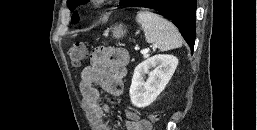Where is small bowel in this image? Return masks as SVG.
Masks as SVG:
<instances>
[{"mask_svg": "<svg viewBox=\"0 0 257 130\" xmlns=\"http://www.w3.org/2000/svg\"><path fill=\"white\" fill-rule=\"evenodd\" d=\"M128 53L120 48L101 47L95 49L90 56V64L80 75V91L84 104L94 121L97 130H112L108 121L109 107L101 103L99 86L111 96L123 93V80L127 75ZM126 130H150L147 120L131 110H126Z\"/></svg>", "mask_w": 257, "mask_h": 130, "instance_id": "1", "label": "small bowel"}]
</instances>
